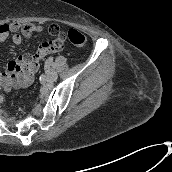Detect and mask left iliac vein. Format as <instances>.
Returning a JSON list of instances; mask_svg holds the SVG:
<instances>
[{
    "label": "left iliac vein",
    "mask_w": 172,
    "mask_h": 172,
    "mask_svg": "<svg viewBox=\"0 0 172 172\" xmlns=\"http://www.w3.org/2000/svg\"><path fill=\"white\" fill-rule=\"evenodd\" d=\"M47 69H48L46 71L47 80L49 82H55L57 80V77H58L57 73L54 70L49 69V66H47Z\"/></svg>",
    "instance_id": "4c4485c4"
}]
</instances>
